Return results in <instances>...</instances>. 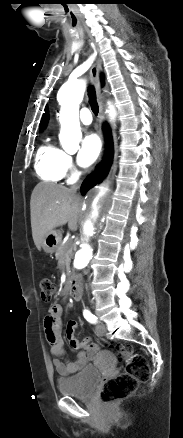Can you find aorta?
Listing matches in <instances>:
<instances>
[{
	"instance_id": "762f6f07",
	"label": "aorta",
	"mask_w": 183,
	"mask_h": 438,
	"mask_svg": "<svg viewBox=\"0 0 183 438\" xmlns=\"http://www.w3.org/2000/svg\"><path fill=\"white\" fill-rule=\"evenodd\" d=\"M85 82L83 80H68L59 89L57 100L61 105L59 121L61 124L59 139L63 148L67 151L77 148L80 137L79 123V104L82 102L85 92ZM110 115L115 116V110L111 108ZM105 188L100 193L91 198V207L87 213L86 221L83 226L85 238L95 235L99 229L98 222L105 213L103 197ZM93 258V250L87 245L76 252L74 258V268L77 270L85 268Z\"/></svg>"
}]
</instances>
